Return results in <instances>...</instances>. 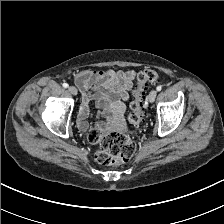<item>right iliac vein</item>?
Returning <instances> with one entry per match:
<instances>
[{
  "label": "right iliac vein",
  "mask_w": 224,
  "mask_h": 224,
  "mask_svg": "<svg viewBox=\"0 0 224 224\" xmlns=\"http://www.w3.org/2000/svg\"><path fill=\"white\" fill-rule=\"evenodd\" d=\"M68 90H69V92L72 94V95H77V89H76V87H74V86H70L69 88H68Z\"/></svg>",
  "instance_id": "obj_1"
}]
</instances>
